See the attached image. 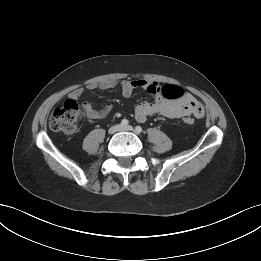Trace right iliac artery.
<instances>
[{
  "label": "right iliac artery",
  "instance_id": "obj_1",
  "mask_svg": "<svg viewBox=\"0 0 261 261\" xmlns=\"http://www.w3.org/2000/svg\"><path fill=\"white\" fill-rule=\"evenodd\" d=\"M128 120L127 119H123L122 121H121V125L122 126H127L128 125Z\"/></svg>",
  "mask_w": 261,
  "mask_h": 261
}]
</instances>
